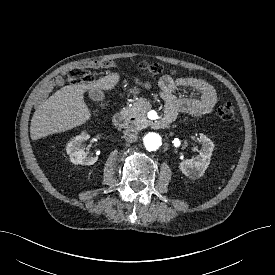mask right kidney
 <instances>
[{"label":"right kidney","instance_id":"right-kidney-1","mask_svg":"<svg viewBox=\"0 0 275 275\" xmlns=\"http://www.w3.org/2000/svg\"><path fill=\"white\" fill-rule=\"evenodd\" d=\"M89 138L90 135L88 133L82 132L67 144L66 152L70 156V161L73 164L93 165L95 162H97L98 157L87 156L82 146V143Z\"/></svg>","mask_w":275,"mask_h":275}]
</instances>
